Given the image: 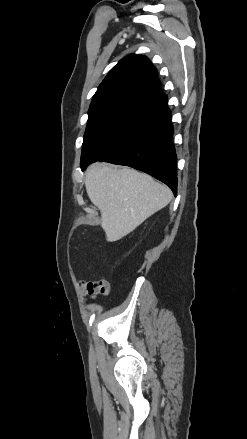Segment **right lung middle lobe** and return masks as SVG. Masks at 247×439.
<instances>
[{
  "instance_id": "right-lung-middle-lobe-1",
  "label": "right lung middle lobe",
  "mask_w": 247,
  "mask_h": 439,
  "mask_svg": "<svg viewBox=\"0 0 247 439\" xmlns=\"http://www.w3.org/2000/svg\"><path fill=\"white\" fill-rule=\"evenodd\" d=\"M89 117L82 145L81 167L98 161L106 153L123 143L155 113L127 103H107L89 109Z\"/></svg>"
}]
</instances>
